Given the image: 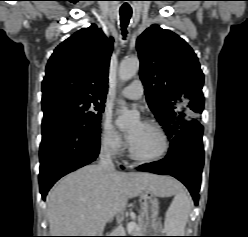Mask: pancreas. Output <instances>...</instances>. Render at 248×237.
<instances>
[{"label":"pancreas","mask_w":248,"mask_h":237,"mask_svg":"<svg viewBox=\"0 0 248 237\" xmlns=\"http://www.w3.org/2000/svg\"><path fill=\"white\" fill-rule=\"evenodd\" d=\"M135 224H136V226L132 231L133 235H135V236L143 235V233L146 232V227L148 226V222L146 220H144L143 217L138 216L137 223H135ZM116 232L121 233V227H119Z\"/></svg>","instance_id":"pancreas-1"}]
</instances>
